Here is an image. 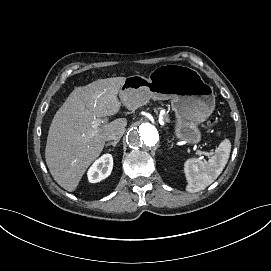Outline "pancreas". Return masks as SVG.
Listing matches in <instances>:
<instances>
[{
	"instance_id": "cf45deb5",
	"label": "pancreas",
	"mask_w": 271,
	"mask_h": 271,
	"mask_svg": "<svg viewBox=\"0 0 271 271\" xmlns=\"http://www.w3.org/2000/svg\"><path fill=\"white\" fill-rule=\"evenodd\" d=\"M165 121H166V122H169L170 120H169V118L166 117V118H165Z\"/></svg>"
}]
</instances>
